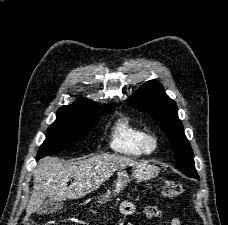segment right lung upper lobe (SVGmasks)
Returning <instances> with one entry per match:
<instances>
[{
    "label": "right lung upper lobe",
    "mask_w": 228,
    "mask_h": 225,
    "mask_svg": "<svg viewBox=\"0 0 228 225\" xmlns=\"http://www.w3.org/2000/svg\"><path fill=\"white\" fill-rule=\"evenodd\" d=\"M71 105H80V106H89V107H98L96 103H94L92 100L84 99V98H79L77 101H75ZM111 105H106L104 107H111Z\"/></svg>",
    "instance_id": "cb5924a9"
}]
</instances>
